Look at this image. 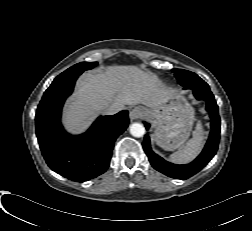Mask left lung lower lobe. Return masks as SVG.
I'll return each instance as SVG.
<instances>
[{
  "label": "left lung lower lobe",
  "instance_id": "0a47b994",
  "mask_svg": "<svg viewBox=\"0 0 252 231\" xmlns=\"http://www.w3.org/2000/svg\"><path fill=\"white\" fill-rule=\"evenodd\" d=\"M184 88L192 89L194 96L198 100H204L206 102V110L209 112L211 118L212 130L201 154L190 164L175 165L165 161L152 151L148 135H145L143 141V148L151 165L163 174L176 179H187L205 167L216 154L220 139V117L218 114V106L208 84L205 82L200 84H189L184 86ZM145 126L147 129L150 127L148 123H145Z\"/></svg>",
  "mask_w": 252,
  "mask_h": 231
}]
</instances>
